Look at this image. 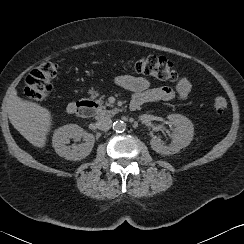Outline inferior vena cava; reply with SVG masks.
Instances as JSON below:
<instances>
[{
  "label": "inferior vena cava",
  "instance_id": "1",
  "mask_svg": "<svg viewBox=\"0 0 244 244\" xmlns=\"http://www.w3.org/2000/svg\"><path fill=\"white\" fill-rule=\"evenodd\" d=\"M112 127V120L110 118H101L97 121V128L101 131H107Z\"/></svg>",
  "mask_w": 244,
  "mask_h": 244
}]
</instances>
